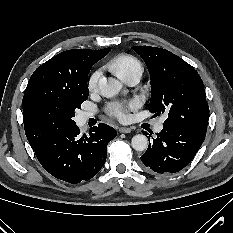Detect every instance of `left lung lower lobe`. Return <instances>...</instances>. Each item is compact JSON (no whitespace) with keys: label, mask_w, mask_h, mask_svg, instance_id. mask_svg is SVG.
I'll list each match as a JSON object with an SVG mask.
<instances>
[{"label":"left lung lower lobe","mask_w":233,"mask_h":233,"mask_svg":"<svg viewBox=\"0 0 233 233\" xmlns=\"http://www.w3.org/2000/svg\"><path fill=\"white\" fill-rule=\"evenodd\" d=\"M163 125V130L149 142L141 160L148 170L160 174L175 173L194 158L205 134L182 126ZM143 133L147 135V132Z\"/></svg>","instance_id":"1"}]
</instances>
